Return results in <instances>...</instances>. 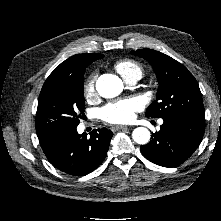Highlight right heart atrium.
Segmentation results:
<instances>
[{"label":"right heart atrium","instance_id":"right-heart-atrium-1","mask_svg":"<svg viewBox=\"0 0 221 221\" xmlns=\"http://www.w3.org/2000/svg\"><path fill=\"white\" fill-rule=\"evenodd\" d=\"M84 96L87 100H91L97 96L96 90V74H91L83 86Z\"/></svg>","mask_w":221,"mask_h":221}]
</instances>
